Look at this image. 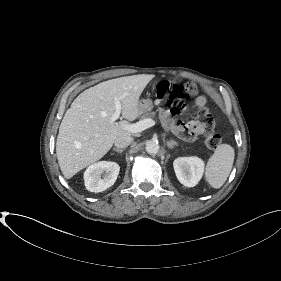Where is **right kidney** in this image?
I'll use <instances>...</instances> for the list:
<instances>
[{
    "instance_id": "obj_1",
    "label": "right kidney",
    "mask_w": 281,
    "mask_h": 281,
    "mask_svg": "<svg viewBox=\"0 0 281 281\" xmlns=\"http://www.w3.org/2000/svg\"><path fill=\"white\" fill-rule=\"evenodd\" d=\"M119 171V165L111 161H100L90 165L84 173L86 189L95 193L106 190L115 183Z\"/></svg>"
}]
</instances>
